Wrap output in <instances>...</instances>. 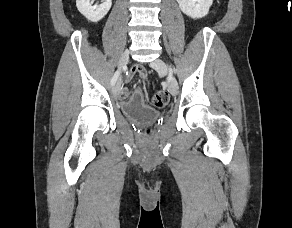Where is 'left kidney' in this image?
I'll return each mask as SVG.
<instances>
[{
    "instance_id": "1",
    "label": "left kidney",
    "mask_w": 292,
    "mask_h": 228,
    "mask_svg": "<svg viewBox=\"0 0 292 228\" xmlns=\"http://www.w3.org/2000/svg\"><path fill=\"white\" fill-rule=\"evenodd\" d=\"M181 11L193 19L205 17L213 0H177Z\"/></svg>"
}]
</instances>
